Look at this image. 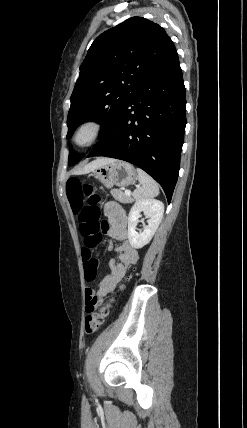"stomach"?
<instances>
[{
	"label": "stomach",
	"mask_w": 247,
	"mask_h": 428,
	"mask_svg": "<svg viewBox=\"0 0 247 428\" xmlns=\"http://www.w3.org/2000/svg\"><path fill=\"white\" fill-rule=\"evenodd\" d=\"M92 176L106 188L114 185L125 187L137 179L134 166L128 162L116 160L92 171Z\"/></svg>",
	"instance_id": "0dacf381"
}]
</instances>
